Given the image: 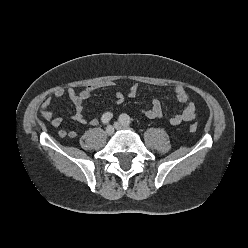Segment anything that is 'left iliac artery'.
<instances>
[{
    "label": "left iliac artery",
    "instance_id": "1",
    "mask_svg": "<svg viewBox=\"0 0 248 248\" xmlns=\"http://www.w3.org/2000/svg\"><path fill=\"white\" fill-rule=\"evenodd\" d=\"M119 121L125 125H130L131 123V119L127 114L120 115Z\"/></svg>",
    "mask_w": 248,
    "mask_h": 248
}]
</instances>
